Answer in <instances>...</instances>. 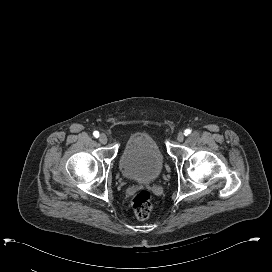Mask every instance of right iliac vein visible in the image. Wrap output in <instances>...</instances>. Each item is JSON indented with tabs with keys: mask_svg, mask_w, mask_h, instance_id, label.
Wrapping results in <instances>:
<instances>
[{
	"mask_svg": "<svg viewBox=\"0 0 272 272\" xmlns=\"http://www.w3.org/2000/svg\"><path fill=\"white\" fill-rule=\"evenodd\" d=\"M107 141H108V138H107V136H106L105 134H101V135L99 136V142H100V143L106 144Z\"/></svg>",
	"mask_w": 272,
	"mask_h": 272,
	"instance_id": "63e3f726",
	"label": "right iliac vein"
}]
</instances>
